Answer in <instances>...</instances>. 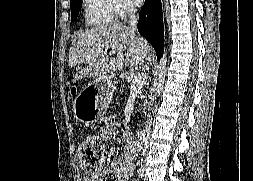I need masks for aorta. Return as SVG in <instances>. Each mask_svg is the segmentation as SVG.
<instances>
[{
    "mask_svg": "<svg viewBox=\"0 0 253 181\" xmlns=\"http://www.w3.org/2000/svg\"><path fill=\"white\" fill-rule=\"evenodd\" d=\"M166 66H167V53L166 51L163 52V56L159 62V65L157 67V73H158V86L156 89V95L159 96L161 93L162 85L165 81L166 76Z\"/></svg>",
    "mask_w": 253,
    "mask_h": 181,
    "instance_id": "1",
    "label": "aorta"
}]
</instances>
